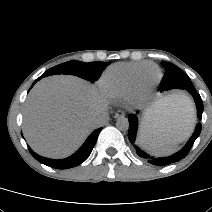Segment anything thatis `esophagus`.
Returning a JSON list of instances; mask_svg holds the SVG:
<instances>
[{"mask_svg":"<svg viewBox=\"0 0 212 212\" xmlns=\"http://www.w3.org/2000/svg\"><path fill=\"white\" fill-rule=\"evenodd\" d=\"M125 116V113L121 110H118L115 114L114 117L115 118H123Z\"/></svg>","mask_w":212,"mask_h":212,"instance_id":"34e87169","label":"esophagus"}]
</instances>
